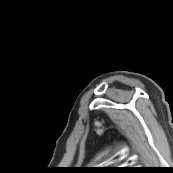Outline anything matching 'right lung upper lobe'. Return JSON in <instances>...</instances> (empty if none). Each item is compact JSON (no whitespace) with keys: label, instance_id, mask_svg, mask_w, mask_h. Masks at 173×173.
<instances>
[{"label":"right lung upper lobe","instance_id":"1","mask_svg":"<svg viewBox=\"0 0 173 173\" xmlns=\"http://www.w3.org/2000/svg\"><path fill=\"white\" fill-rule=\"evenodd\" d=\"M107 170H109V171H115L116 169L115 168H108Z\"/></svg>","mask_w":173,"mask_h":173}]
</instances>
